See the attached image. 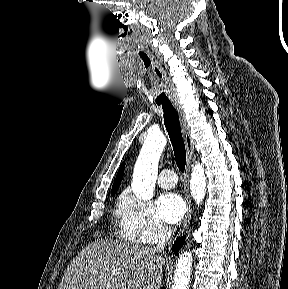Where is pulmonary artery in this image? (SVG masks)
<instances>
[{
  "instance_id": "e3ab8cb5",
  "label": "pulmonary artery",
  "mask_w": 288,
  "mask_h": 289,
  "mask_svg": "<svg viewBox=\"0 0 288 289\" xmlns=\"http://www.w3.org/2000/svg\"><path fill=\"white\" fill-rule=\"evenodd\" d=\"M177 183V177L174 171L170 169H164L160 172L158 177V184L162 188H172Z\"/></svg>"
}]
</instances>
